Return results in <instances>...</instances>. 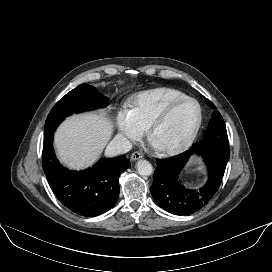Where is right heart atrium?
Instances as JSON below:
<instances>
[{"instance_id":"1","label":"right heart atrium","mask_w":272,"mask_h":272,"mask_svg":"<svg viewBox=\"0 0 272 272\" xmlns=\"http://www.w3.org/2000/svg\"><path fill=\"white\" fill-rule=\"evenodd\" d=\"M117 125L121 136L130 141L140 139L145 130L137 123L129 110L121 111L118 114Z\"/></svg>"}]
</instances>
